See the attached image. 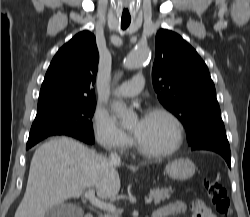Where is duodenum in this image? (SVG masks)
I'll use <instances>...</instances> for the list:
<instances>
[{
	"mask_svg": "<svg viewBox=\"0 0 250 217\" xmlns=\"http://www.w3.org/2000/svg\"><path fill=\"white\" fill-rule=\"evenodd\" d=\"M160 215H159V212L158 211H155L152 215H151V217H159ZM85 217H94V215L92 214V213H87L86 215H85Z\"/></svg>",
	"mask_w": 250,
	"mask_h": 217,
	"instance_id": "obj_1",
	"label": "duodenum"
}]
</instances>
